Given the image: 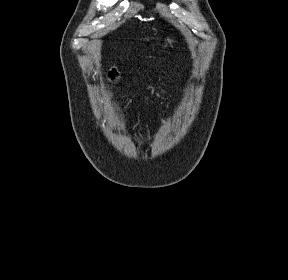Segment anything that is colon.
I'll return each mask as SVG.
<instances>
[{
	"instance_id": "colon-1",
	"label": "colon",
	"mask_w": 288,
	"mask_h": 280,
	"mask_svg": "<svg viewBox=\"0 0 288 280\" xmlns=\"http://www.w3.org/2000/svg\"><path fill=\"white\" fill-rule=\"evenodd\" d=\"M116 76H117V73H116V72H112V73L110 74V77H111L112 80H115V79H116Z\"/></svg>"
}]
</instances>
